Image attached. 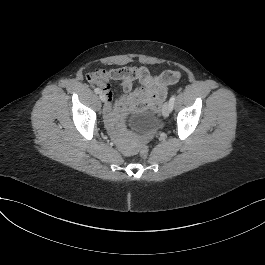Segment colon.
Returning a JSON list of instances; mask_svg holds the SVG:
<instances>
[{
	"instance_id": "5ec220e1",
	"label": "colon",
	"mask_w": 265,
	"mask_h": 265,
	"mask_svg": "<svg viewBox=\"0 0 265 265\" xmlns=\"http://www.w3.org/2000/svg\"><path fill=\"white\" fill-rule=\"evenodd\" d=\"M102 77V71L101 70H96L92 73L89 74V78H100ZM148 147L146 145H142L139 148V155L141 159L145 160L148 156Z\"/></svg>"
}]
</instances>
